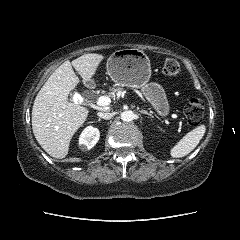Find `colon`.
<instances>
[{"label":"colon","instance_id":"1","mask_svg":"<svg viewBox=\"0 0 240 240\" xmlns=\"http://www.w3.org/2000/svg\"><path fill=\"white\" fill-rule=\"evenodd\" d=\"M161 70L166 77H176L180 73V65L177 60L167 58L162 63ZM204 109L202 100L190 98L184 106V115L191 125H197L203 118Z\"/></svg>","mask_w":240,"mask_h":240}]
</instances>
